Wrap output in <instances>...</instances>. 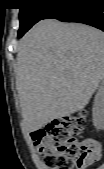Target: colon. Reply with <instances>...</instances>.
<instances>
[{
  "label": "colon",
  "instance_id": "colon-1",
  "mask_svg": "<svg viewBox=\"0 0 104 169\" xmlns=\"http://www.w3.org/2000/svg\"><path fill=\"white\" fill-rule=\"evenodd\" d=\"M85 125L86 112L80 111L33 132L32 139L49 169H83L98 160L100 154L92 140L79 138Z\"/></svg>",
  "mask_w": 104,
  "mask_h": 169
}]
</instances>
